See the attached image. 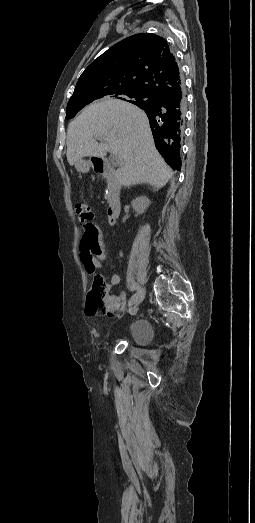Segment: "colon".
I'll list each match as a JSON object with an SVG mask.
<instances>
[{
  "instance_id": "5ec220e1",
  "label": "colon",
  "mask_w": 255,
  "mask_h": 523,
  "mask_svg": "<svg viewBox=\"0 0 255 523\" xmlns=\"http://www.w3.org/2000/svg\"><path fill=\"white\" fill-rule=\"evenodd\" d=\"M75 211L82 223L92 220L93 213L86 203H77ZM120 302L109 295V287L105 278L97 274L94 278L91 292L89 294L87 310L90 315L108 314L120 308Z\"/></svg>"
}]
</instances>
